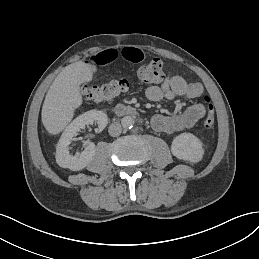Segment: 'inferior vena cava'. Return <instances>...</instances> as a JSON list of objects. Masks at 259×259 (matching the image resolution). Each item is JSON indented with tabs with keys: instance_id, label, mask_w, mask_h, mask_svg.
Masks as SVG:
<instances>
[{
	"instance_id": "602c4592",
	"label": "inferior vena cava",
	"mask_w": 259,
	"mask_h": 259,
	"mask_svg": "<svg viewBox=\"0 0 259 259\" xmlns=\"http://www.w3.org/2000/svg\"><path fill=\"white\" fill-rule=\"evenodd\" d=\"M109 134L113 137H117L122 132V127L118 122H114L109 126Z\"/></svg>"
}]
</instances>
